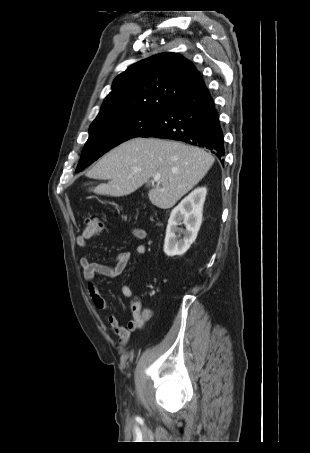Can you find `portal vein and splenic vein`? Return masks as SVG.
Instances as JSON below:
<instances>
[{
    "label": "portal vein and splenic vein",
    "instance_id": "18ae733b",
    "mask_svg": "<svg viewBox=\"0 0 310 453\" xmlns=\"http://www.w3.org/2000/svg\"><path fill=\"white\" fill-rule=\"evenodd\" d=\"M159 180H160V175L159 174L155 175L154 176V181L158 182Z\"/></svg>",
    "mask_w": 310,
    "mask_h": 453
}]
</instances>
